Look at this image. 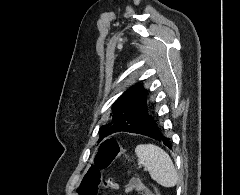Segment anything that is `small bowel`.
Masks as SVG:
<instances>
[{"label":"small bowel","instance_id":"obj_1","mask_svg":"<svg viewBox=\"0 0 240 195\" xmlns=\"http://www.w3.org/2000/svg\"><path fill=\"white\" fill-rule=\"evenodd\" d=\"M120 186H118V189ZM117 189V190H118ZM125 192L132 194L138 192L140 195H151L150 188L144 186L142 181L137 177H132L125 186Z\"/></svg>","mask_w":240,"mask_h":195}]
</instances>
